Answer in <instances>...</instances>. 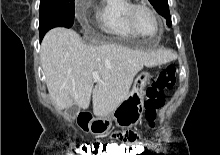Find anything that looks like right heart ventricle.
Here are the masks:
<instances>
[{
  "instance_id": "1",
  "label": "right heart ventricle",
  "mask_w": 220,
  "mask_h": 155,
  "mask_svg": "<svg viewBox=\"0 0 220 155\" xmlns=\"http://www.w3.org/2000/svg\"><path fill=\"white\" fill-rule=\"evenodd\" d=\"M131 0H100L94 11V22L106 35L115 38H134L137 34L130 28L127 11Z\"/></svg>"
}]
</instances>
